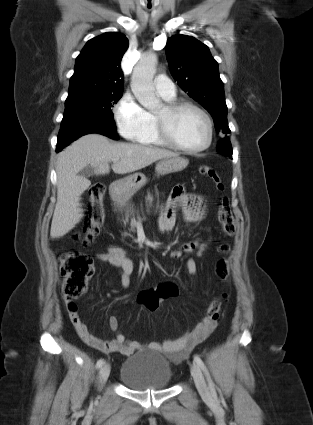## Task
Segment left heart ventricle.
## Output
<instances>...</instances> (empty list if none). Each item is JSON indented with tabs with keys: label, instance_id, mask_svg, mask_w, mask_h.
I'll return each instance as SVG.
<instances>
[{
	"label": "left heart ventricle",
	"instance_id": "1",
	"mask_svg": "<svg viewBox=\"0 0 313 425\" xmlns=\"http://www.w3.org/2000/svg\"><path fill=\"white\" fill-rule=\"evenodd\" d=\"M157 114L164 115V108ZM172 130L176 139L187 148L202 146L208 136L205 119L194 110H186L180 113L172 125Z\"/></svg>",
	"mask_w": 313,
	"mask_h": 425
}]
</instances>
